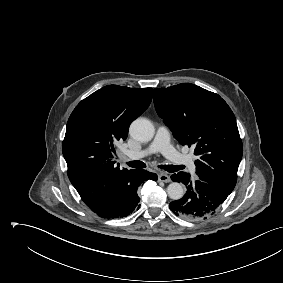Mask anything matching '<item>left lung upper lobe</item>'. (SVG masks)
<instances>
[{"mask_svg": "<svg viewBox=\"0 0 283 283\" xmlns=\"http://www.w3.org/2000/svg\"><path fill=\"white\" fill-rule=\"evenodd\" d=\"M155 109L178 142L195 148L198 180L231 193L243 148L236 119L216 93L191 83L155 88Z\"/></svg>", "mask_w": 283, "mask_h": 283, "instance_id": "obj_1", "label": "left lung upper lobe"}]
</instances>
